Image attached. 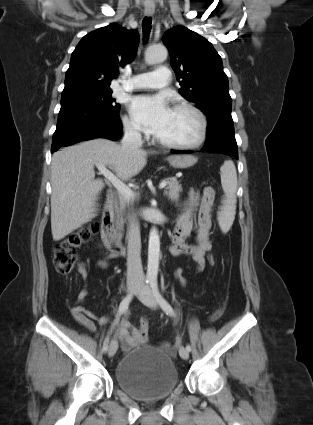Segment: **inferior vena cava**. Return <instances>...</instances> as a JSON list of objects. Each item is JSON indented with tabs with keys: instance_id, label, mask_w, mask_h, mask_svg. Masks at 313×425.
<instances>
[{
	"instance_id": "602c4592",
	"label": "inferior vena cava",
	"mask_w": 313,
	"mask_h": 425,
	"mask_svg": "<svg viewBox=\"0 0 313 425\" xmlns=\"http://www.w3.org/2000/svg\"><path fill=\"white\" fill-rule=\"evenodd\" d=\"M141 134L133 127L124 128V137L121 147L124 151H137L142 146ZM127 230V282H143L145 279L141 263L140 226L135 214L129 215Z\"/></svg>"
}]
</instances>
